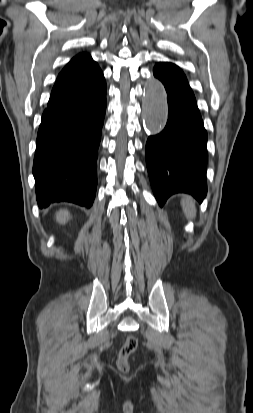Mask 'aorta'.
Listing matches in <instances>:
<instances>
[{
	"instance_id": "aorta-1",
	"label": "aorta",
	"mask_w": 253,
	"mask_h": 413,
	"mask_svg": "<svg viewBox=\"0 0 253 413\" xmlns=\"http://www.w3.org/2000/svg\"><path fill=\"white\" fill-rule=\"evenodd\" d=\"M143 121L149 134L163 130L168 117L167 95L163 84L158 80L146 83V93L142 101Z\"/></svg>"
}]
</instances>
